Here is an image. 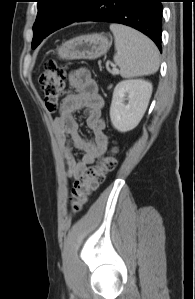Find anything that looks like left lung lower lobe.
<instances>
[{
    "label": "left lung lower lobe",
    "mask_w": 195,
    "mask_h": 299,
    "mask_svg": "<svg viewBox=\"0 0 195 299\" xmlns=\"http://www.w3.org/2000/svg\"><path fill=\"white\" fill-rule=\"evenodd\" d=\"M163 0H90L76 22H113L133 27L152 39L161 51Z\"/></svg>",
    "instance_id": "0a47b994"
}]
</instances>
